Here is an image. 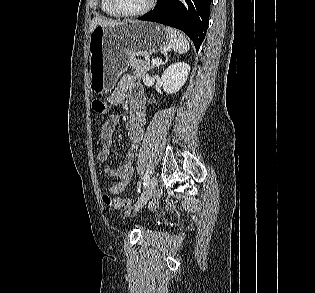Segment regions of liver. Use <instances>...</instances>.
<instances>
[{
	"label": "liver",
	"instance_id": "1",
	"mask_svg": "<svg viewBox=\"0 0 315 293\" xmlns=\"http://www.w3.org/2000/svg\"><path fill=\"white\" fill-rule=\"evenodd\" d=\"M118 24H121V22L96 17L90 23V32H92L94 28L97 27L98 25H118Z\"/></svg>",
	"mask_w": 315,
	"mask_h": 293
}]
</instances>
